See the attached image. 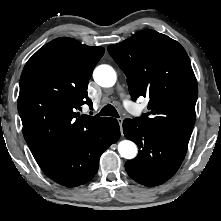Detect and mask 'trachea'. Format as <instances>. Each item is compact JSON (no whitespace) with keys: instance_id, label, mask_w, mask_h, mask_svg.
Listing matches in <instances>:
<instances>
[{"instance_id":"3493384b","label":"trachea","mask_w":221,"mask_h":221,"mask_svg":"<svg viewBox=\"0 0 221 221\" xmlns=\"http://www.w3.org/2000/svg\"><path fill=\"white\" fill-rule=\"evenodd\" d=\"M98 116H112L118 118L119 114L111 104H107L101 109V111L98 113Z\"/></svg>"}]
</instances>
